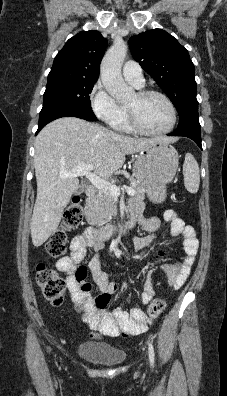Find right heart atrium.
Here are the masks:
<instances>
[{
	"instance_id": "d8ad5b80",
	"label": "right heart atrium",
	"mask_w": 227,
	"mask_h": 396,
	"mask_svg": "<svg viewBox=\"0 0 227 396\" xmlns=\"http://www.w3.org/2000/svg\"><path fill=\"white\" fill-rule=\"evenodd\" d=\"M89 102L95 116L107 124H112L120 114L121 107L98 80L89 93Z\"/></svg>"
}]
</instances>
